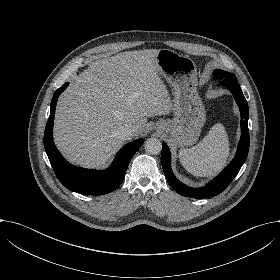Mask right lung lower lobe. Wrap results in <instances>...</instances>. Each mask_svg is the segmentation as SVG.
Segmentation results:
<instances>
[{"mask_svg": "<svg viewBox=\"0 0 280 280\" xmlns=\"http://www.w3.org/2000/svg\"><path fill=\"white\" fill-rule=\"evenodd\" d=\"M65 83L57 89L50 105V116L44 133V147L59 181L69 190L85 195H103L115 190L123 181L125 171L133 155L143 144L142 139L125 145L117 154L114 163L104 171L87 170L69 164L53 142V121L59 95L66 89Z\"/></svg>", "mask_w": 280, "mask_h": 280, "instance_id": "obj_1", "label": "right lung lower lobe"}]
</instances>
